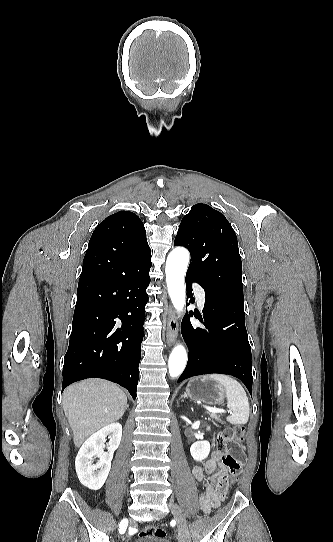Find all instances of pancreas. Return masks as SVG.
Masks as SVG:
<instances>
[{
    "instance_id": "pancreas-1",
    "label": "pancreas",
    "mask_w": 333,
    "mask_h": 542,
    "mask_svg": "<svg viewBox=\"0 0 333 542\" xmlns=\"http://www.w3.org/2000/svg\"><path fill=\"white\" fill-rule=\"evenodd\" d=\"M222 414H210V418H213V420H216V422H219V424H223V420H221Z\"/></svg>"
}]
</instances>
